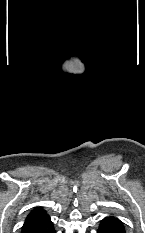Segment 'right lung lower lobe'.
Instances as JSON below:
<instances>
[{
    "label": "right lung lower lobe",
    "instance_id": "1",
    "mask_svg": "<svg viewBox=\"0 0 145 233\" xmlns=\"http://www.w3.org/2000/svg\"><path fill=\"white\" fill-rule=\"evenodd\" d=\"M23 233H56L54 225L50 220V217L43 219L42 221L34 224L29 229L23 231Z\"/></svg>",
    "mask_w": 145,
    "mask_h": 233
}]
</instances>
